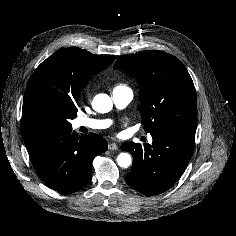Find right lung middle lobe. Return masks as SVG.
<instances>
[{"label":"right lung middle lobe","mask_w":236,"mask_h":236,"mask_svg":"<svg viewBox=\"0 0 236 236\" xmlns=\"http://www.w3.org/2000/svg\"><path fill=\"white\" fill-rule=\"evenodd\" d=\"M76 103L53 91L36 88L29 96L22 127L32 135H54L71 130L70 120L77 114Z\"/></svg>","instance_id":"dd1d6c3e"}]
</instances>
